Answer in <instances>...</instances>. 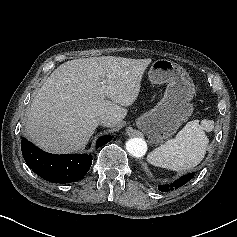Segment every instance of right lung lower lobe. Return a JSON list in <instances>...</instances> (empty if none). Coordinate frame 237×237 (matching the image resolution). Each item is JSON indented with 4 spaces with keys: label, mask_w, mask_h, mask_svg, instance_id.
Wrapping results in <instances>:
<instances>
[{
    "label": "right lung lower lobe",
    "mask_w": 237,
    "mask_h": 237,
    "mask_svg": "<svg viewBox=\"0 0 237 237\" xmlns=\"http://www.w3.org/2000/svg\"><path fill=\"white\" fill-rule=\"evenodd\" d=\"M105 135L97 140V148L109 142ZM21 150L27 165L41 178L52 183H71L81 179L92 165V155H56L42 151L26 138H22Z\"/></svg>",
    "instance_id": "obj_1"
}]
</instances>
